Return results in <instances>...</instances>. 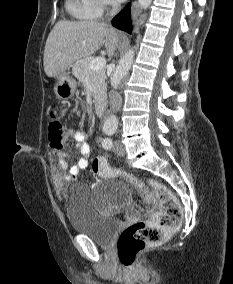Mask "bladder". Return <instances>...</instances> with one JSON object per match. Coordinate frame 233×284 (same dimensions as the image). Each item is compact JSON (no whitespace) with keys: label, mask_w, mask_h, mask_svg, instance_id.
I'll return each instance as SVG.
<instances>
[{"label":"bladder","mask_w":233,"mask_h":284,"mask_svg":"<svg viewBox=\"0 0 233 284\" xmlns=\"http://www.w3.org/2000/svg\"><path fill=\"white\" fill-rule=\"evenodd\" d=\"M130 196V188L120 180L106 183L98 197L87 187L74 185L67 204L70 226L76 233L88 236L97 244L108 246L121 223L117 218L103 213L99 207L102 204H123Z\"/></svg>","instance_id":"1"}]
</instances>
